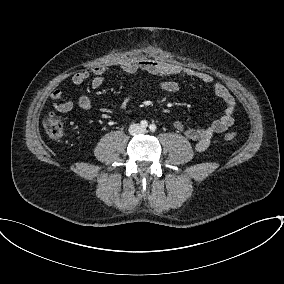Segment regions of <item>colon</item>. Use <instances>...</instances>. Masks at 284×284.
Returning a JSON list of instances; mask_svg holds the SVG:
<instances>
[{
	"mask_svg": "<svg viewBox=\"0 0 284 284\" xmlns=\"http://www.w3.org/2000/svg\"><path fill=\"white\" fill-rule=\"evenodd\" d=\"M45 131L53 138H60L64 134V120L63 117L55 112H50L43 121ZM228 142L234 141L236 134L233 132L227 133L224 136Z\"/></svg>",
	"mask_w": 284,
	"mask_h": 284,
	"instance_id": "colon-1",
	"label": "colon"
}]
</instances>
